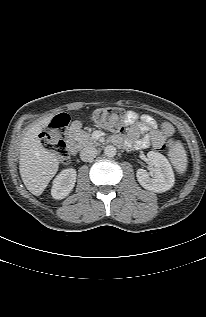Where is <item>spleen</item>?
Listing matches in <instances>:
<instances>
[{
	"instance_id": "1",
	"label": "spleen",
	"mask_w": 206,
	"mask_h": 317,
	"mask_svg": "<svg viewBox=\"0 0 206 317\" xmlns=\"http://www.w3.org/2000/svg\"><path fill=\"white\" fill-rule=\"evenodd\" d=\"M169 158L173 166L179 173H183L187 167V155L184 147L180 142L169 151Z\"/></svg>"
}]
</instances>
